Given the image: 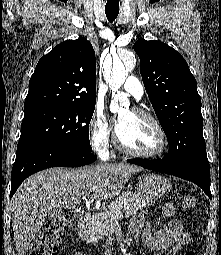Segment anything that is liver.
<instances>
[{
    "instance_id": "1",
    "label": "liver",
    "mask_w": 221,
    "mask_h": 255,
    "mask_svg": "<svg viewBox=\"0 0 221 255\" xmlns=\"http://www.w3.org/2000/svg\"><path fill=\"white\" fill-rule=\"evenodd\" d=\"M130 164H97L78 169L50 168L27 178L11 199L14 243L25 255L45 218L57 209H74L81 197L108 200L118 196L133 173Z\"/></svg>"
}]
</instances>
